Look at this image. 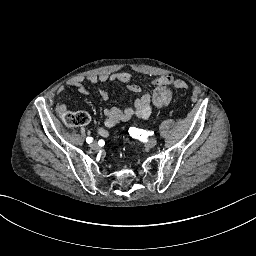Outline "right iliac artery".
Listing matches in <instances>:
<instances>
[{
	"label": "right iliac artery",
	"instance_id": "right-iliac-artery-1",
	"mask_svg": "<svg viewBox=\"0 0 256 256\" xmlns=\"http://www.w3.org/2000/svg\"><path fill=\"white\" fill-rule=\"evenodd\" d=\"M92 141H93V139H92L91 137H87V138H86V142H87V143H91Z\"/></svg>",
	"mask_w": 256,
	"mask_h": 256
}]
</instances>
